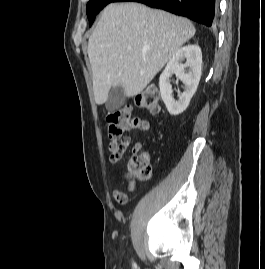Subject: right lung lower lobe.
Instances as JSON below:
<instances>
[{
    "mask_svg": "<svg viewBox=\"0 0 265 269\" xmlns=\"http://www.w3.org/2000/svg\"><path fill=\"white\" fill-rule=\"evenodd\" d=\"M128 1L185 16L206 26L212 25L217 10L216 0H114L113 2Z\"/></svg>",
    "mask_w": 265,
    "mask_h": 269,
    "instance_id": "98d812e1",
    "label": "right lung lower lobe"
}]
</instances>
